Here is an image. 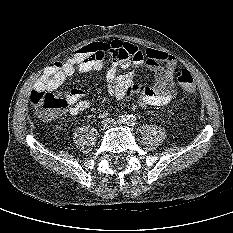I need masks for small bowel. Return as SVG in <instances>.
I'll return each instance as SVG.
<instances>
[{
  "instance_id": "c3829d8e",
  "label": "small bowel",
  "mask_w": 233,
  "mask_h": 233,
  "mask_svg": "<svg viewBox=\"0 0 233 233\" xmlns=\"http://www.w3.org/2000/svg\"><path fill=\"white\" fill-rule=\"evenodd\" d=\"M143 66L155 72L151 88L134 83L136 70ZM76 71L102 72L110 95L123 101L135 96L143 108L166 105L176 97L175 75L179 72L176 59L168 53L151 48L140 50L120 40L90 43L68 59L51 64L37 81L36 89L55 90ZM65 98L73 115L90 106L81 90H71Z\"/></svg>"
}]
</instances>
